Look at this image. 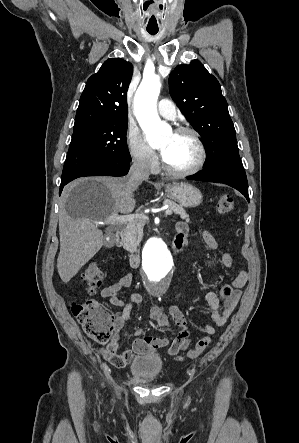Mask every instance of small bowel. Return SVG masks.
<instances>
[{"instance_id":"1","label":"small bowel","mask_w":299,"mask_h":443,"mask_svg":"<svg viewBox=\"0 0 299 443\" xmlns=\"http://www.w3.org/2000/svg\"><path fill=\"white\" fill-rule=\"evenodd\" d=\"M175 228V239L186 244L188 240V225L183 221H179L176 223ZM202 238L209 249H217V241L210 231H203ZM221 262L225 268H231L233 258L229 253L225 252L221 256ZM248 278V273L245 270H240L230 284H225L221 287L219 296L212 291L206 294V301L212 309V323L207 324L205 327L208 334L213 335L215 333L214 326L221 327L226 324L240 300L241 289L247 283ZM132 282L133 275L130 273L124 274L118 281L103 288L100 293L101 297L108 299L111 305L123 308L117 317L115 335L106 349L108 360L112 364L121 367L130 363L135 353H146L167 347L169 355H176L180 351L186 350L191 343L187 321L182 309L174 305L170 307L169 315L180 328L176 336L154 337L147 335L142 329H139L135 333L136 338L132 342V349L119 352L121 333L130 319L132 308L143 300L142 295L137 292L132 293L128 301L121 294L122 290L129 287ZM150 318L160 329L168 330V316L164 313L162 307L153 306L150 310Z\"/></svg>"}]
</instances>
